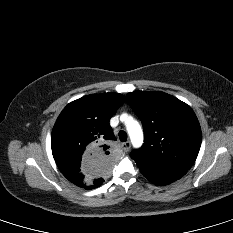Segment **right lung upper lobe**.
<instances>
[{"mask_svg": "<svg viewBox=\"0 0 233 233\" xmlns=\"http://www.w3.org/2000/svg\"><path fill=\"white\" fill-rule=\"evenodd\" d=\"M118 93L87 95L69 103L52 130V154L62 174L79 187H97L115 169L116 140L109 120L124 103Z\"/></svg>", "mask_w": 233, "mask_h": 233, "instance_id": "right-lung-upper-lobe-1", "label": "right lung upper lobe"}]
</instances>
